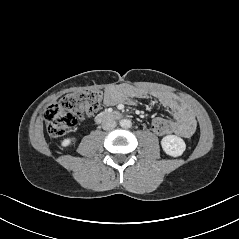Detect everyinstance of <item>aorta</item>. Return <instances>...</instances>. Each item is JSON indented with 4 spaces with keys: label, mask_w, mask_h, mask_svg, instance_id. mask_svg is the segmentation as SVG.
<instances>
[{
    "label": "aorta",
    "mask_w": 239,
    "mask_h": 239,
    "mask_svg": "<svg viewBox=\"0 0 239 239\" xmlns=\"http://www.w3.org/2000/svg\"><path fill=\"white\" fill-rule=\"evenodd\" d=\"M120 125L123 128H130L132 126V122L129 119H124L121 120Z\"/></svg>",
    "instance_id": "obj_1"
}]
</instances>
